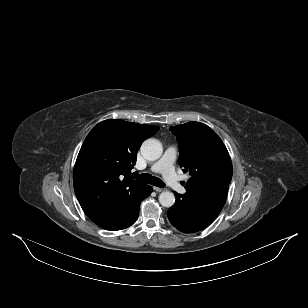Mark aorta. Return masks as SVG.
<instances>
[{"mask_svg": "<svg viewBox=\"0 0 308 308\" xmlns=\"http://www.w3.org/2000/svg\"><path fill=\"white\" fill-rule=\"evenodd\" d=\"M163 148L161 143L156 139H147L141 146L143 157L150 161H155L162 155ZM159 202L164 207H171L175 203V196L170 191H164L159 195Z\"/></svg>", "mask_w": 308, "mask_h": 308, "instance_id": "1", "label": "aorta"}]
</instances>
